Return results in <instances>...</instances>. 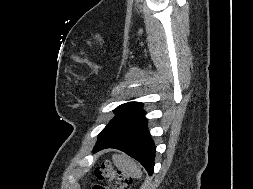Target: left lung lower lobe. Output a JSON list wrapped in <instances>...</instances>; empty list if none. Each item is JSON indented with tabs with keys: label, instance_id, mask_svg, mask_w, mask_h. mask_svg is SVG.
I'll return each mask as SVG.
<instances>
[{
	"label": "left lung lower lobe",
	"instance_id": "1",
	"mask_svg": "<svg viewBox=\"0 0 253 189\" xmlns=\"http://www.w3.org/2000/svg\"><path fill=\"white\" fill-rule=\"evenodd\" d=\"M105 148L119 149L138 160L149 175H152L155 158V145L147 130L145 113L114 130L98 136L94 152Z\"/></svg>",
	"mask_w": 253,
	"mask_h": 189
}]
</instances>
